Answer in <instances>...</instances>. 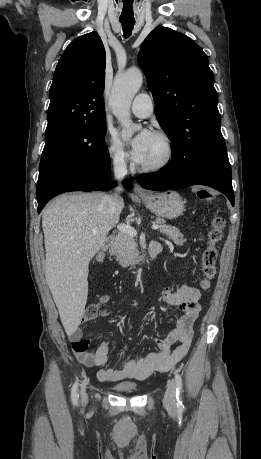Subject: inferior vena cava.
<instances>
[{
	"mask_svg": "<svg viewBox=\"0 0 261 459\" xmlns=\"http://www.w3.org/2000/svg\"><path fill=\"white\" fill-rule=\"evenodd\" d=\"M127 175V167L124 161L123 156H120L114 160V176L118 181H122ZM121 187H117L119 191ZM124 202L123 199L118 194H113L109 196V209L110 213L119 218V215L123 209Z\"/></svg>",
	"mask_w": 261,
	"mask_h": 459,
	"instance_id": "obj_1",
	"label": "inferior vena cava"
}]
</instances>
